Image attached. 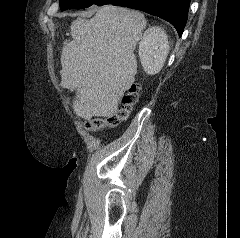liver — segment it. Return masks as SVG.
<instances>
[{
  "label": "liver",
  "instance_id": "6515ba94",
  "mask_svg": "<svg viewBox=\"0 0 240 238\" xmlns=\"http://www.w3.org/2000/svg\"><path fill=\"white\" fill-rule=\"evenodd\" d=\"M146 26L143 14L105 5L94 17L71 25L61 55V86L76 90L74 112L84 118L112 117L137 73L134 49Z\"/></svg>",
  "mask_w": 240,
  "mask_h": 238
}]
</instances>
